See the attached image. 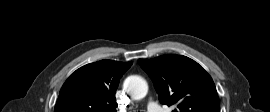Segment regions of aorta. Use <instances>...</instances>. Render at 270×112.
<instances>
[{"label": "aorta", "mask_w": 270, "mask_h": 112, "mask_svg": "<svg viewBox=\"0 0 270 112\" xmlns=\"http://www.w3.org/2000/svg\"><path fill=\"white\" fill-rule=\"evenodd\" d=\"M124 89L132 98L142 99L148 92V85L142 77L132 75L124 81Z\"/></svg>", "instance_id": "obj_1"}]
</instances>
